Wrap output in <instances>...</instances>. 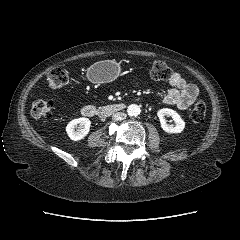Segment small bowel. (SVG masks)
I'll return each instance as SVG.
<instances>
[{"instance_id":"1","label":"small bowel","mask_w":240,"mask_h":240,"mask_svg":"<svg viewBox=\"0 0 240 240\" xmlns=\"http://www.w3.org/2000/svg\"><path fill=\"white\" fill-rule=\"evenodd\" d=\"M171 88L162 99L164 105H173L181 110L190 107L199 95L196 85L188 83L179 73L173 72L169 77Z\"/></svg>"}]
</instances>
